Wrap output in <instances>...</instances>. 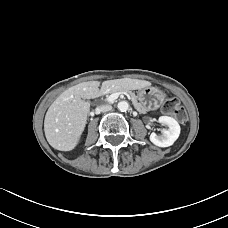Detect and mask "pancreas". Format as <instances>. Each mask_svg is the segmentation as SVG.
Wrapping results in <instances>:
<instances>
[{"mask_svg":"<svg viewBox=\"0 0 228 228\" xmlns=\"http://www.w3.org/2000/svg\"><path fill=\"white\" fill-rule=\"evenodd\" d=\"M117 91L119 90H111L110 92L108 93H116ZM132 99H131V102L133 103V105L135 106V108L140 112V113H143V114H147L148 113V110L146 108H142L141 105L139 104V102L137 101V97L135 94H133L132 92H128Z\"/></svg>","mask_w":228,"mask_h":228,"instance_id":"obj_1","label":"pancreas"}]
</instances>
